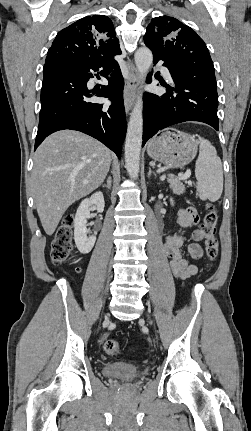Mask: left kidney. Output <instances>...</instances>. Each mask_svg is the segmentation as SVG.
<instances>
[{
    "label": "left kidney",
    "mask_w": 251,
    "mask_h": 431,
    "mask_svg": "<svg viewBox=\"0 0 251 431\" xmlns=\"http://www.w3.org/2000/svg\"><path fill=\"white\" fill-rule=\"evenodd\" d=\"M170 202H171V204H172V205L174 204V202H173V200H172V199H170Z\"/></svg>",
    "instance_id": "obj_1"
}]
</instances>
